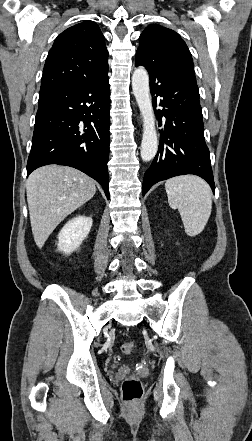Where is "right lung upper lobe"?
Returning a JSON list of instances; mask_svg holds the SVG:
<instances>
[{
	"label": "right lung upper lobe",
	"instance_id": "cb5924a9",
	"mask_svg": "<svg viewBox=\"0 0 252 441\" xmlns=\"http://www.w3.org/2000/svg\"><path fill=\"white\" fill-rule=\"evenodd\" d=\"M108 79V51L99 26L90 20L62 32L47 56L39 95L57 88Z\"/></svg>",
	"mask_w": 252,
	"mask_h": 441
}]
</instances>
